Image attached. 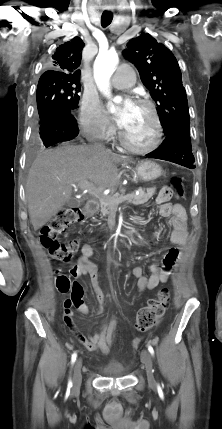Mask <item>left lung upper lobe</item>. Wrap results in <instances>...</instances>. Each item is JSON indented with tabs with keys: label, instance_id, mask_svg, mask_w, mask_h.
Returning <instances> with one entry per match:
<instances>
[{
	"label": "left lung upper lobe",
	"instance_id": "obj_1",
	"mask_svg": "<svg viewBox=\"0 0 222 429\" xmlns=\"http://www.w3.org/2000/svg\"><path fill=\"white\" fill-rule=\"evenodd\" d=\"M123 55L138 68L143 84L157 104L164 134L190 131L186 91L172 52L148 33H142L128 42Z\"/></svg>",
	"mask_w": 222,
	"mask_h": 429
}]
</instances>
